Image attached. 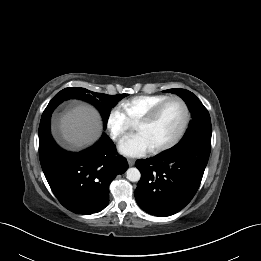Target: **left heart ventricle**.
<instances>
[{"mask_svg":"<svg viewBox=\"0 0 261 261\" xmlns=\"http://www.w3.org/2000/svg\"><path fill=\"white\" fill-rule=\"evenodd\" d=\"M183 121V110L178 103L167 105L157 119L146 125L136 127L151 148L160 146L170 141L179 131Z\"/></svg>","mask_w":261,"mask_h":261,"instance_id":"left-heart-ventricle-1","label":"left heart ventricle"}]
</instances>
